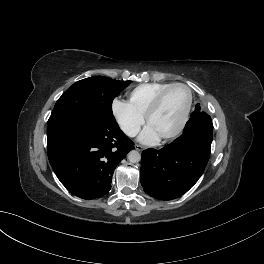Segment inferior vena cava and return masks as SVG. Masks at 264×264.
Wrapping results in <instances>:
<instances>
[{
  "label": "inferior vena cava",
  "instance_id": "inferior-vena-cava-1",
  "mask_svg": "<svg viewBox=\"0 0 264 264\" xmlns=\"http://www.w3.org/2000/svg\"><path fill=\"white\" fill-rule=\"evenodd\" d=\"M122 130L126 135L134 137L139 133L140 128L134 125H125L122 127Z\"/></svg>",
  "mask_w": 264,
  "mask_h": 264
}]
</instances>
